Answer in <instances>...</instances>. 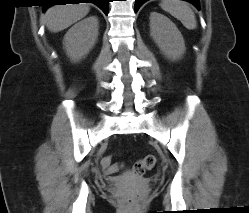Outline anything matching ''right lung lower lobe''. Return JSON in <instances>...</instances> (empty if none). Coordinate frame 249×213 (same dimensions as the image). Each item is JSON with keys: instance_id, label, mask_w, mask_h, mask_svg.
<instances>
[{"instance_id": "right-lung-lower-lobe-1", "label": "right lung lower lobe", "mask_w": 249, "mask_h": 213, "mask_svg": "<svg viewBox=\"0 0 249 213\" xmlns=\"http://www.w3.org/2000/svg\"><path fill=\"white\" fill-rule=\"evenodd\" d=\"M109 1L110 0H49L46 5L43 6L44 10H46L48 7L52 5H59V4H66V3H72V4H79L80 2H86V3H94L98 7H100L103 12L107 15L108 9H109Z\"/></svg>"}]
</instances>
